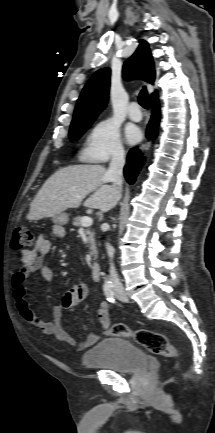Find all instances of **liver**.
I'll list each match as a JSON object with an SVG mask.
<instances>
[{
  "instance_id": "6515ba94",
  "label": "liver",
  "mask_w": 215,
  "mask_h": 433,
  "mask_svg": "<svg viewBox=\"0 0 215 433\" xmlns=\"http://www.w3.org/2000/svg\"><path fill=\"white\" fill-rule=\"evenodd\" d=\"M107 170L102 165H71L56 171L43 184L33 199L29 220L53 217L68 208H78L82 200L89 208L107 212L121 196V186L108 185Z\"/></svg>"
}]
</instances>
